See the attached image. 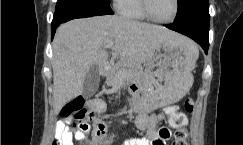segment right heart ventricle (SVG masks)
<instances>
[{
    "label": "right heart ventricle",
    "mask_w": 243,
    "mask_h": 145,
    "mask_svg": "<svg viewBox=\"0 0 243 145\" xmlns=\"http://www.w3.org/2000/svg\"><path fill=\"white\" fill-rule=\"evenodd\" d=\"M118 12L132 20H146V16L141 10L139 0H119L116 4Z\"/></svg>",
    "instance_id": "obj_1"
}]
</instances>
